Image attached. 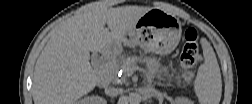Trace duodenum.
<instances>
[{
    "label": "duodenum",
    "instance_id": "1",
    "mask_svg": "<svg viewBox=\"0 0 252 104\" xmlns=\"http://www.w3.org/2000/svg\"><path fill=\"white\" fill-rule=\"evenodd\" d=\"M103 57H104V54H101V55H100V58H103ZM99 86H100V87L103 86V80H100Z\"/></svg>",
    "mask_w": 252,
    "mask_h": 104
}]
</instances>
